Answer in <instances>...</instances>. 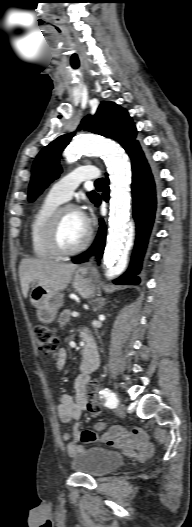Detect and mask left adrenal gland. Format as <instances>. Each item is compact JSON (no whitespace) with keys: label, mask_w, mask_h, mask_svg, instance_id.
<instances>
[{"label":"left adrenal gland","mask_w":192,"mask_h":527,"mask_svg":"<svg viewBox=\"0 0 192 527\" xmlns=\"http://www.w3.org/2000/svg\"><path fill=\"white\" fill-rule=\"evenodd\" d=\"M102 308V305H99L96 309L100 310Z\"/></svg>","instance_id":"left-adrenal-gland-1"}]
</instances>
